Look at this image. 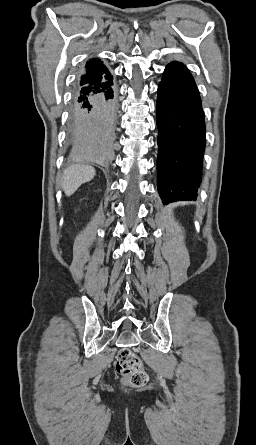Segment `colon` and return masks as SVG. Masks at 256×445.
I'll return each mask as SVG.
<instances>
[{"label":"colon","mask_w":256,"mask_h":445,"mask_svg":"<svg viewBox=\"0 0 256 445\" xmlns=\"http://www.w3.org/2000/svg\"><path fill=\"white\" fill-rule=\"evenodd\" d=\"M115 369L117 374L133 387H142L148 381L141 359L128 348L118 352Z\"/></svg>","instance_id":"5ec220e1"}]
</instances>
